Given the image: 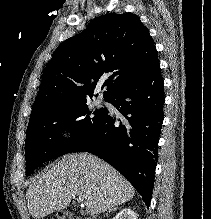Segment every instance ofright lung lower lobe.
I'll return each mask as SVG.
<instances>
[{
	"label": "right lung lower lobe",
	"instance_id": "obj_1",
	"mask_svg": "<svg viewBox=\"0 0 211 219\" xmlns=\"http://www.w3.org/2000/svg\"><path fill=\"white\" fill-rule=\"evenodd\" d=\"M160 63L119 88L109 99L123 115L120 124L108 110L70 152H90L116 168L149 207L158 158L165 101Z\"/></svg>",
	"mask_w": 211,
	"mask_h": 219
}]
</instances>
